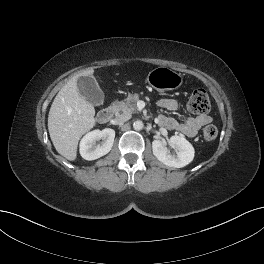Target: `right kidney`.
Here are the masks:
<instances>
[{
	"mask_svg": "<svg viewBox=\"0 0 264 264\" xmlns=\"http://www.w3.org/2000/svg\"><path fill=\"white\" fill-rule=\"evenodd\" d=\"M115 138V131L110 128L94 130L87 133L80 141V154L85 160H96L112 149ZM102 139L101 145L96 141Z\"/></svg>",
	"mask_w": 264,
	"mask_h": 264,
	"instance_id": "obj_1",
	"label": "right kidney"
}]
</instances>
